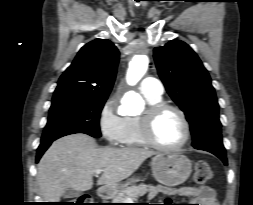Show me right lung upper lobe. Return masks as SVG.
Segmentation results:
<instances>
[{
  "label": "right lung upper lobe",
  "mask_w": 253,
  "mask_h": 205,
  "mask_svg": "<svg viewBox=\"0 0 253 205\" xmlns=\"http://www.w3.org/2000/svg\"><path fill=\"white\" fill-rule=\"evenodd\" d=\"M119 51L107 39L84 45L58 81L53 101L65 98H107L116 76Z\"/></svg>",
  "instance_id": "cb5924a9"
}]
</instances>
